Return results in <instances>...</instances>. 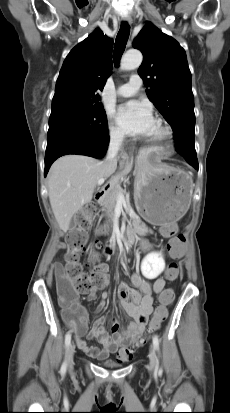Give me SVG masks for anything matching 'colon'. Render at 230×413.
<instances>
[{
	"label": "colon",
	"mask_w": 230,
	"mask_h": 413,
	"mask_svg": "<svg viewBox=\"0 0 230 413\" xmlns=\"http://www.w3.org/2000/svg\"><path fill=\"white\" fill-rule=\"evenodd\" d=\"M96 209L93 205H85L78 215V226L66 238L68 251L65 255V264H56L54 274L56 278V290L60 302L66 310L73 308L78 293L90 291L94 287H100L104 281L103 270L98 264V256L95 252L97 244H91L87 247L86 266L90 267L91 272L84 271L80 263L82 251L87 246V229L94 221ZM189 246V241L184 235L178 234L171 238L168 247L171 257L179 258L183 253V248ZM170 281H175L179 275V264L172 261L168 264L167 270L164 271ZM167 281L169 285L171 282ZM173 301V291L167 289L160 295V304L157 306L150 322L149 332L156 331L160 324L167 317V306ZM134 352V345H128L124 349L125 359L128 360Z\"/></svg>",
	"instance_id": "5ec220e1"
}]
</instances>
